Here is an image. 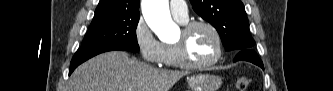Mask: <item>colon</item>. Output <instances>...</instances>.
Listing matches in <instances>:
<instances>
[{
  "mask_svg": "<svg viewBox=\"0 0 333 91\" xmlns=\"http://www.w3.org/2000/svg\"><path fill=\"white\" fill-rule=\"evenodd\" d=\"M250 84V79L248 77H241L237 81V88L240 91H244Z\"/></svg>",
  "mask_w": 333,
  "mask_h": 91,
  "instance_id": "colon-1",
  "label": "colon"
}]
</instances>
